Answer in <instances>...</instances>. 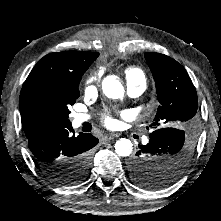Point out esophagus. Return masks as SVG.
Here are the masks:
<instances>
[{
  "instance_id": "esophagus-1",
  "label": "esophagus",
  "mask_w": 221,
  "mask_h": 221,
  "mask_svg": "<svg viewBox=\"0 0 221 221\" xmlns=\"http://www.w3.org/2000/svg\"><path fill=\"white\" fill-rule=\"evenodd\" d=\"M115 136L116 135H105L101 138V142L104 143V142L110 141V140L114 139Z\"/></svg>"
}]
</instances>
